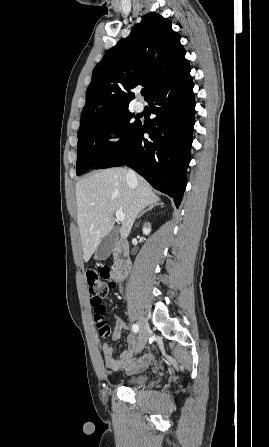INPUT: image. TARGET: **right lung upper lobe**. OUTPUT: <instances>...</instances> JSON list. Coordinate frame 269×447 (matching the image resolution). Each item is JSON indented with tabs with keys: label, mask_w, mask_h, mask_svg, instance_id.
<instances>
[{
	"label": "right lung upper lobe",
	"mask_w": 269,
	"mask_h": 447,
	"mask_svg": "<svg viewBox=\"0 0 269 447\" xmlns=\"http://www.w3.org/2000/svg\"><path fill=\"white\" fill-rule=\"evenodd\" d=\"M180 38L168 19L156 13L143 16L129 37L109 49L95 67L80 128L107 112L128 108L137 85L147 89V100L155 88L176 75L188 64Z\"/></svg>",
	"instance_id": "cb5924a9"
}]
</instances>
